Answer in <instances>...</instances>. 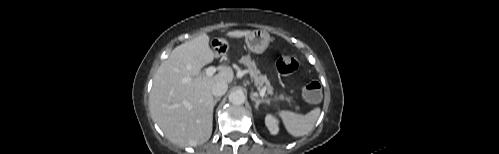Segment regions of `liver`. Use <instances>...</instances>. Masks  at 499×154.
Segmentation results:
<instances>
[{"instance_id":"6515ba94","label":"liver","mask_w":499,"mask_h":154,"mask_svg":"<svg viewBox=\"0 0 499 154\" xmlns=\"http://www.w3.org/2000/svg\"><path fill=\"white\" fill-rule=\"evenodd\" d=\"M250 33L235 30L226 36L241 38ZM218 56L204 33L174 48L159 66L149 106L153 120L172 143L196 146L211 137L215 106L212 87L217 82L231 83L234 79L230 68L213 77L202 73V68Z\"/></svg>"}]
</instances>
